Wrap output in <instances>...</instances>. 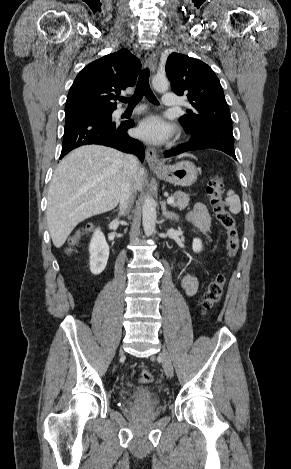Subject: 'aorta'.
Wrapping results in <instances>:
<instances>
[{
  "label": "aorta",
  "instance_id": "obj_1",
  "mask_svg": "<svg viewBox=\"0 0 291 469\" xmlns=\"http://www.w3.org/2000/svg\"><path fill=\"white\" fill-rule=\"evenodd\" d=\"M152 85L158 92H165L169 88V82L164 76H155L152 80ZM142 222L145 235H152L156 224V203L149 195L144 200L142 208Z\"/></svg>",
  "mask_w": 291,
  "mask_h": 469
}]
</instances>
